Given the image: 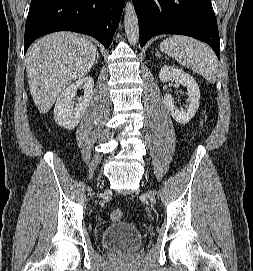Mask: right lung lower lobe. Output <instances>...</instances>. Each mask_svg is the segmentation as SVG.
<instances>
[{"label":"right lung lower lobe","mask_w":253,"mask_h":271,"mask_svg":"<svg viewBox=\"0 0 253 271\" xmlns=\"http://www.w3.org/2000/svg\"><path fill=\"white\" fill-rule=\"evenodd\" d=\"M124 0H31L24 53L37 38L55 31L90 35L106 48L118 26Z\"/></svg>","instance_id":"98d812e1"}]
</instances>
